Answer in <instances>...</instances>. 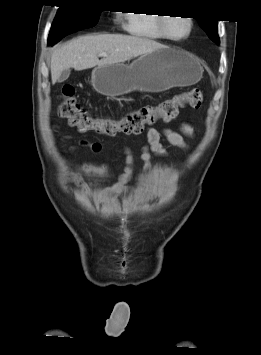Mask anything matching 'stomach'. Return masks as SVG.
<instances>
[{"label": "stomach", "mask_w": 261, "mask_h": 355, "mask_svg": "<svg viewBox=\"0 0 261 355\" xmlns=\"http://www.w3.org/2000/svg\"><path fill=\"white\" fill-rule=\"evenodd\" d=\"M198 59L189 53L163 46L143 54L131 64L97 66L91 74L94 89L105 96H120L132 91L163 92L176 86H189L202 77Z\"/></svg>", "instance_id": "obj_1"}]
</instances>
